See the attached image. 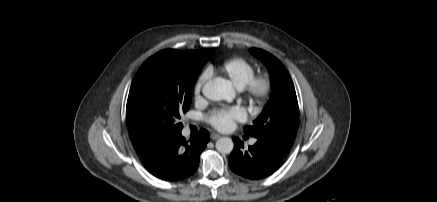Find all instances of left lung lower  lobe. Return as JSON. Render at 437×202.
<instances>
[{
	"mask_svg": "<svg viewBox=\"0 0 437 202\" xmlns=\"http://www.w3.org/2000/svg\"><path fill=\"white\" fill-rule=\"evenodd\" d=\"M234 149L229 157V166L237 175L259 180L273 174L281 165L284 155L268 144L257 140L253 146L244 149L243 142L233 137Z\"/></svg>",
	"mask_w": 437,
	"mask_h": 202,
	"instance_id": "obj_1",
	"label": "left lung lower lobe"
}]
</instances>
